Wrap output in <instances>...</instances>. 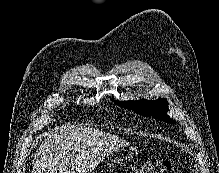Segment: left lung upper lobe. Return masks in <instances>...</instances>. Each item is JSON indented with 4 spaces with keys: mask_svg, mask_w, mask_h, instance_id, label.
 <instances>
[{
    "mask_svg": "<svg viewBox=\"0 0 219 173\" xmlns=\"http://www.w3.org/2000/svg\"><path fill=\"white\" fill-rule=\"evenodd\" d=\"M115 104L133 110L136 113L154 117L167 123H175L168 115V102L166 99H158L155 101L138 100V101H118L112 100Z\"/></svg>",
    "mask_w": 219,
    "mask_h": 173,
    "instance_id": "5c2ea615",
    "label": "left lung upper lobe"
}]
</instances>
